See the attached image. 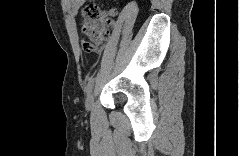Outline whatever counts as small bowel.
I'll list each match as a JSON object with an SVG mask.
<instances>
[{
  "mask_svg": "<svg viewBox=\"0 0 239 156\" xmlns=\"http://www.w3.org/2000/svg\"><path fill=\"white\" fill-rule=\"evenodd\" d=\"M82 3H83L82 0H73V1L70 2V9L75 12V11H77L78 8L82 5ZM84 43H85V42H84ZM84 43H83V46H84ZM96 49H97V48H96ZM96 49H95V50H96Z\"/></svg>",
  "mask_w": 239,
  "mask_h": 156,
  "instance_id": "c3829d8e",
  "label": "small bowel"
}]
</instances>
